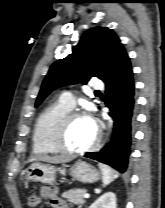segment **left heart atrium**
Masks as SVG:
<instances>
[{
	"label": "left heart atrium",
	"mask_w": 165,
	"mask_h": 208,
	"mask_svg": "<svg viewBox=\"0 0 165 208\" xmlns=\"http://www.w3.org/2000/svg\"><path fill=\"white\" fill-rule=\"evenodd\" d=\"M89 119L91 121L92 126L96 129V124H95L94 120H92L91 118H89Z\"/></svg>",
	"instance_id": "1"
}]
</instances>
